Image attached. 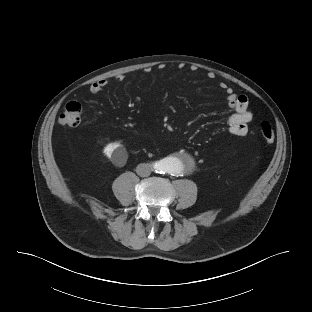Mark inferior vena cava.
<instances>
[{
    "label": "inferior vena cava",
    "mask_w": 312,
    "mask_h": 312,
    "mask_svg": "<svg viewBox=\"0 0 312 312\" xmlns=\"http://www.w3.org/2000/svg\"><path fill=\"white\" fill-rule=\"evenodd\" d=\"M136 172L141 177H147L151 174V168L148 164H139Z\"/></svg>",
    "instance_id": "602c4592"
}]
</instances>
